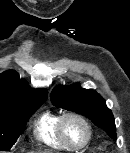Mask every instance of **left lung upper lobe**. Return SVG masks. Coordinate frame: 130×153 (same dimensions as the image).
Segmentation results:
<instances>
[{
  "instance_id": "5c2ea615",
  "label": "left lung upper lobe",
  "mask_w": 130,
  "mask_h": 153,
  "mask_svg": "<svg viewBox=\"0 0 130 153\" xmlns=\"http://www.w3.org/2000/svg\"><path fill=\"white\" fill-rule=\"evenodd\" d=\"M50 98L59 108L86 116L116 140L113 114L107 108L104 98L96 91L83 89L78 84L58 86L52 91Z\"/></svg>"
}]
</instances>
